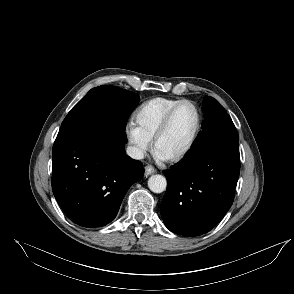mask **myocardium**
I'll use <instances>...</instances> for the list:
<instances>
[{"label": "myocardium", "mask_w": 294, "mask_h": 294, "mask_svg": "<svg viewBox=\"0 0 294 294\" xmlns=\"http://www.w3.org/2000/svg\"><path fill=\"white\" fill-rule=\"evenodd\" d=\"M184 104H190L194 107V109L196 111V115H197V122H196L195 129L192 133V136H191L190 140L188 141V143L186 144V146L178 153H176L170 157L163 158V160L170 162V163L178 162V161L182 160L183 158H185L190 153V151L194 147V145L199 137V134H200L201 128H202L203 118H202V113H201L199 106L194 101L189 100V99H183V100L179 101L167 112V114L165 115L164 119L162 120L159 128L157 129V131L154 135L153 149H154L155 154L158 155V153H157L158 144H159L161 138L165 135V133L169 129L175 113Z\"/></svg>", "instance_id": "myocardium-1"}]
</instances>
